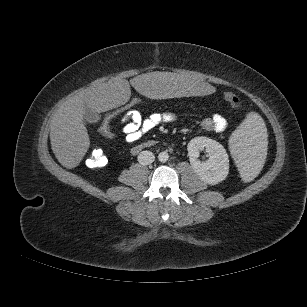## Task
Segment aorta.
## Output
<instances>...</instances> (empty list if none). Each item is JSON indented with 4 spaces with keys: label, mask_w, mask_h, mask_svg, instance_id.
<instances>
[{
    "label": "aorta",
    "mask_w": 307,
    "mask_h": 307,
    "mask_svg": "<svg viewBox=\"0 0 307 307\" xmlns=\"http://www.w3.org/2000/svg\"><path fill=\"white\" fill-rule=\"evenodd\" d=\"M169 159V154L166 151L160 152L158 154V160L160 162H166Z\"/></svg>",
    "instance_id": "aorta-1"
}]
</instances>
